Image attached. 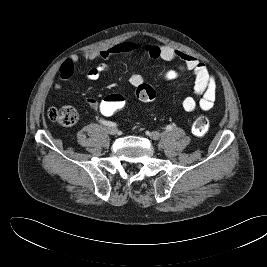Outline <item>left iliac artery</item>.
<instances>
[{"mask_svg": "<svg viewBox=\"0 0 267 267\" xmlns=\"http://www.w3.org/2000/svg\"><path fill=\"white\" fill-rule=\"evenodd\" d=\"M172 128H173L172 125H167L165 129L169 131V130H172Z\"/></svg>", "mask_w": 267, "mask_h": 267, "instance_id": "44dca946", "label": "left iliac artery"}]
</instances>
